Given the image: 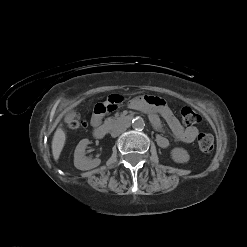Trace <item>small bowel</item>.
<instances>
[{
    "label": "small bowel",
    "instance_id": "1",
    "mask_svg": "<svg viewBox=\"0 0 247 247\" xmlns=\"http://www.w3.org/2000/svg\"><path fill=\"white\" fill-rule=\"evenodd\" d=\"M123 103V98L118 95L110 96L105 104L98 103L95 106V112L91 119L92 125L95 127L100 124L105 113H111L119 108ZM130 107L146 113L151 124L157 130L162 129L161 118L164 119L177 141L192 143L198 136L199 132L196 127L182 126L165 101L158 97L136 98L130 102ZM156 141L162 148L169 146V140L163 135H157Z\"/></svg>",
    "mask_w": 247,
    "mask_h": 247
}]
</instances>
